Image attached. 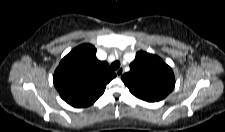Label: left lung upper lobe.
I'll use <instances>...</instances> for the list:
<instances>
[{
    "label": "left lung upper lobe",
    "mask_w": 225,
    "mask_h": 132,
    "mask_svg": "<svg viewBox=\"0 0 225 132\" xmlns=\"http://www.w3.org/2000/svg\"><path fill=\"white\" fill-rule=\"evenodd\" d=\"M121 79L134 96L148 102L162 100L175 86L171 67L158 56L144 51L137 52L130 71Z\"/></svg>",
    "instance_id": "obj_1"
}]
</instances>
